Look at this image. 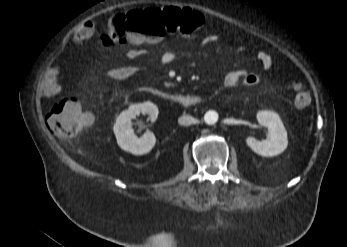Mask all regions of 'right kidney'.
<instances>
[{
	"label": "right kidney",
	"mask_w": 347,
	"mask_h": 247,
	"mask_svg": "<svg viewBox=\"0 0 347 247\" xmlns=\"http://www.w3.org/2000/svg\"><path fill=\"white\" fill-rule=\"evenodd\" d=\"M140 113L148 114L155 121L158 116V108L151 102L131 105L117 117L113 128L120 148L134 155L148 153L156 143V138L152 132L148 131L141 137L134 134L131 120Z\"/></svg>",
	"instance_id": "ca27d5eb"
}]
</instances>
